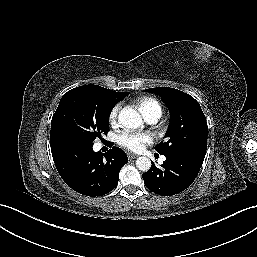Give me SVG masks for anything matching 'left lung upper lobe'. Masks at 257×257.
<instances>
[{
  "label": "left lung upper lobe",
  "mask_w": 257,
  "mask_h": 257,
  "mask_svg": "<svg viewBox=\"0 0 257 257\" xmlns=\"http://www.w3.org/2000/svg\"><path fill=\"white\" fill-rule=\"evenodd\" d=\"M145 91L160 95L170 111L165 141L155 146L160 154L181 153L205 158L208 126L199 103L190 95L169 87Z\"/></svg>",
  "instance_id": "left-lung-upper-lobe-1"
}]
</instances>
